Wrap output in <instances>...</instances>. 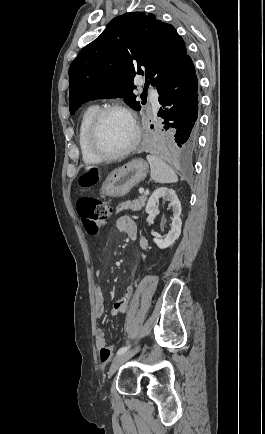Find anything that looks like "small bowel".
Here are the masks:
<instances>
[{
    "mask_svg": "<svg viewBox=\"0 0 265 434\" xmlns=\"http://www.w3.org/2000/svg\"><path fill=\"white\" fill-rule=\"evenodd\" d=\"M117 228L126 233L128 237L132 240H138L140 247L142 249V263L143 268L146 269L148 262L146 251L148 249V242L141 234H139L136 223L129 216H122L117 220ZM99 275V271L97 272ZM137 286V282H132L126 289L123 296L115 302L113 309L111 311L112 316H117L119 314H124L128 309L129 301L135 291ZM94 294H95V315L97 318L103 316L105 312L106 298L104 289L101 284L95 283L94 285ZM101 340H109L106 336V333L103 329L98 328L95 331V345L96 348H100ZM114 347V346H113Z\"/></svg>",
    "mask_w": 265,
    "mask_h": 434,
    "instance_id": "small-bowel-1",
    "label": "small bowel"
}]
</instances>
